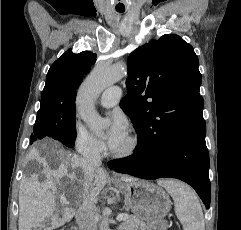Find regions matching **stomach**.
Returning <instances> with one entry per match:
<instances>
[{"instance_id": "stomach-1", "label": "stomach", "mask_w": 241, "mask_h": 230, "mask_svg": "<svg viewBox=\"0 0 241 230\" xmlns=\"http://www.w3.org/2000/svg\"><path fill=\"white\" fill-rule=\"evenodd\" d=\"M117 187L136 218L148 224V230L167 229L165 217L170 211L171 201L161 187L146 181L120 182Z\"/></svg>"}]
</instances>
